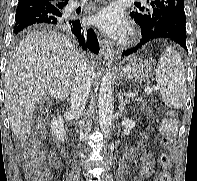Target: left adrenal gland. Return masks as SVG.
Segmentation results:
<instances>
[{
  "label": "left adrenal gland",
  "mask_w": 197,
  "mask_h": 181,
  "mask_svg": "<svg viewBox=\"0 0 197 181\" xmlns=\"http://www.w3.org/2000/svg\"><path fill=\"white\" fill-rule=\"evenodd\" d=\"M118 98H119V106H118L119 111H120V113H124L125 106H126V104H129V102L127 101V99L123 98L122 91H120Z\"/></svg>",
  "instance_id": "a2214340"
}]
</instances>
